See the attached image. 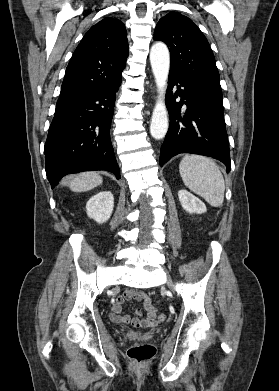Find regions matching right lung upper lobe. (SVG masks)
Masks as SVG:
<instances>
[{
	"mask_svg": "<svg viewBox=\"0 0 279 391\" xmlns=\"http://www.w3.org/2000/svg\"><path fill=\"white\" fill-rule=\"evenodd\" d=\"M128 57L125 25L105 18L92 26L67 66L59 99L86 94L121 80Z\"/></svg>",
	"mask_w": 279,
	"mask_h": 391,
	"instance_id": "obj_1",
	"label": "right lung upper lobe"
}]
</instances>
